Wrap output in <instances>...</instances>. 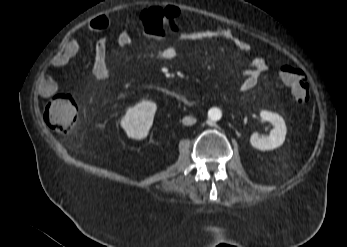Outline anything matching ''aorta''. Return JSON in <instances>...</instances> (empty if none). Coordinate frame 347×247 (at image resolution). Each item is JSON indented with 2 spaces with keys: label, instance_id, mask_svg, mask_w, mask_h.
<instances>
[{
  "label": "aorta",
  "instance_id": "aorta-1",
  "mask_svg": "<svg viewBox=\"0 0 347 247\" xmlns=\"http://www.w3.org/2000/svg\"><path fill=\"white\" fill-rule=\"evenodd\" d=\"M222 113L218 108H211L208 111V118L210 122H216L221 119Z\"/></svg>",
  "mask_w": 347,
  "mask_h": 247
}]
</instances>
